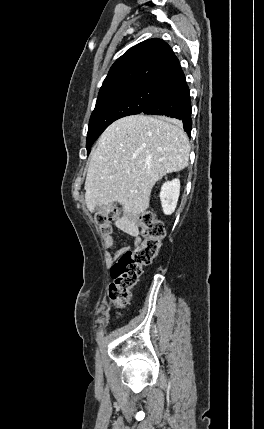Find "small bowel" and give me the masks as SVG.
Wrapping results in <instances>:
<instances>
[{
  "label": "small bowel",
  "instance_id": "c3829d8e",
  "mask_svg": "<svg viewBox=\"0 0 264 429\" xmlns=\"http://www.w3.org/2000/svg\"><path fill=\"white\" fill-rule=\"evenodd\" d=\"M124 232L134 237V244L138 245L140 243V237L136 230L131 228H124ZM101 237L103 245L106 249H112L114 247V238L112 236V227L110 225H105L101 228ZM125 248L117 250L113 255L109 252L105 254L106 261L112 263L123 251Z\"/></svg>",
  "mask_w": 264,
  "mask_h": 429
}]
</instances>
